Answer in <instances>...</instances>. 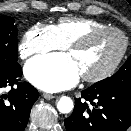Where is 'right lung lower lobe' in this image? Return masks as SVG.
<instances>
[{"instance_id": "98d812e1", "label": "right lung lower lobe", "mask_w": 131, "mask_h": 131, "mask_svg": "<svg viewBox=\"0 0 131 131\" xmlns=\"http://www.w3.org/2000/svg\"><path fill=\"white\" fill-rule=\"evenodd\" d=\"M21 75L20 65L10 72H0V131H24L32 105L39 97L31 84L19 82ZM6 86L11 90L1 94Z\"/></svg>"}]
</instances>
